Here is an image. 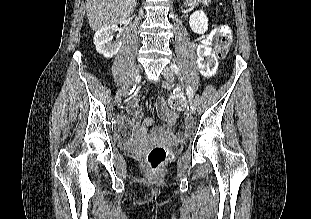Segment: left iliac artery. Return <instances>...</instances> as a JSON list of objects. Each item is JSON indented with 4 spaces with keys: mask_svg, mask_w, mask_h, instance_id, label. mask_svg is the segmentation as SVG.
<instances>
[{
    "mask_svg": "<svg viewBox=\"0 0 311 219\" xmlns=\"http://www.w3.org/2000/svg\"><path fill=\"white\" fill-rule=\"evenodd\" d=\"M170 67L174 73L180 74V69L176 64L173 63ZM187 95L190 100L193 98V90L190 86H187Z\"/></svg>",
    "mask_w": 311,
    "mask_h": 219,
    "instance_id": "44dca946",
    "label": "left iliac artery"
}]
</instances>
